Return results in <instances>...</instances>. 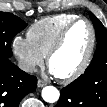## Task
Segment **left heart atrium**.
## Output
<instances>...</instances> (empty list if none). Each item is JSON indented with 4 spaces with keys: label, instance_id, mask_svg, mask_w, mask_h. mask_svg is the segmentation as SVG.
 <instances>
[{
    "label": "left heart atrium",
    "instance_id": "39dd6f15",
    "mask_svg": "<svg viewBox=\"0 0 107 107\" xmlns=\"http://www.w3.org/2000/svg\"><path fill=\"white\" fill-rule=\"evenodd\" d=\"M49 72H50V74H52V75H56L55 72L51 69V67L49 68Z\"/></svg>",
    "mask_w": 107,
    "mask_h": 107
}]
</instances>
